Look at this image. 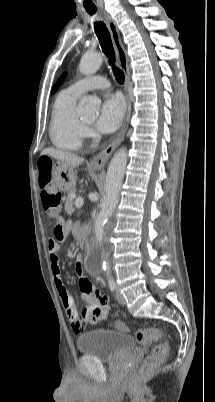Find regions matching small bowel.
<instances>
[{"label":"small bowel","mask_w":215,"mask_h":402,"mask_svg":"<svg viewBox=\"0 0 215 402\" xmlns=\"http://www.w3.org/2000/svg\"><path fill=\"white\" fill-rule=\"evenodd\" d=\"M71 231L70 224L60 223L54 230V238H50L47 242L51 259V272L54 284L62 305L64 307L67 318L72 324L74 332H80L87 324H95L104 321L109 314V304L107 298L103 297L99 289L87 278L83 277V263L80 257H77L75 263V271L80 276L79 287L83 298L89 304L81 314L78 313L73 298L69 294L63 279L61 277V267L59 264L58 253L60 251V243L65 241Z\"/></svg>","instance_id":"obj_1"}]
</instances>
